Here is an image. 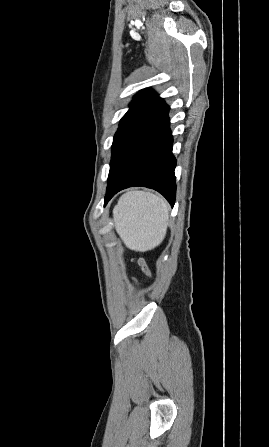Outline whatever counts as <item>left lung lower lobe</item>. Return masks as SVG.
<instances>
[{"label":"left lung lower lobe","instance_id":"0a47b994","mask_svg":"<svg viewBox=\"0 0 269 447\" xmlns=\"http://www.w3.org/2000/svg\"><path fill=\"white\" fill-rule=\"evenodd\" d=\"M172 143L167 114L134 148L107 185L105 204L120 190L144 186L160 192L173 207L176 159L172 154Z\"/></svg>","mask_w":269,"mask_h":447}]
</instances>
